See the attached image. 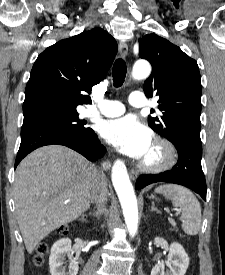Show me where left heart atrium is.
<instances>
[{"mask_svg":"<svg viewBox=\"0 0 225 275\" xmlns=\"http://www.w3.org/2000/svg\"><path fill=\"white\" fill-rule=\"evenodd\" d=\"M101 134L109 143L134 158L145 157L152 146L150 130L132 115L106 121Z\"/></svg>","mask_w":225,"mask_h":275,"instance_id":"1","label":"left heart atrium"}]
</instances>
